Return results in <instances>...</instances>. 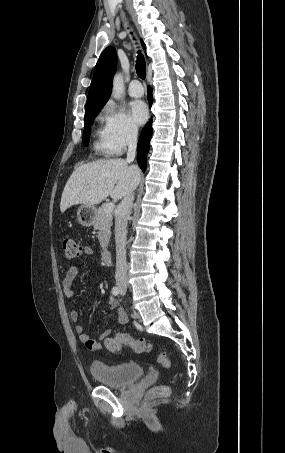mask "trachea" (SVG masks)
<instances>
[{
    "mask_svg": "<svg viewBox=\"0 0 285 453\" xmlns=\"http://www.w3.org/2000/svg\"><path fill=\"white\" fill-rule=\"evenodd\" d=\"M136 72L138 77L145 79L146 77V63L143 55L139 54L136 60Z\"/></svg>",
    "mask_w": 285,
    "mask_h": 453,
    "instance_id": "3493384b",
    "label": "trachea"
}]
</instances>
